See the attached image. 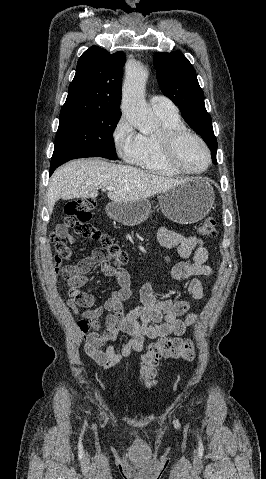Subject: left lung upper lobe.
<instances>
[{
	"label": "left lung upper lobe",
	"mask_w": 266,
	"mask_h": 479,
	"mask_svg": "<svg viewBox=\"0 0 266 479\" xmlns=\"http://www.w3.org/2000/svg\"><path fill=\"white\" fill-rule=\"evenodd\" d=\"M153 60L162 93L179 106L184 120L206 142L212 153V161L217 164V139L195 69L180 51L156 52Z\"/></svg>",
	"instance_id": "1"
}]
</instances>
